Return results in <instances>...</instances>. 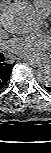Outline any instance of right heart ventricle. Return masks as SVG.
I'll return each mask as SVG.
<instances>
[{"instance_id": "1", "label": "right heart ventricle", "mask_w": 51, "mask_h": 153, "mask_svg": "<svg viewBox=\"0 0 51 153\" xmlns=\"http://www.w3.org/2000/svg\"><path fill=\"white\" fill-rule=\"evenodd\" d=\"M33 4L41 17H47L51 13V0H33Z\"/></svg>"}]
</instances>
